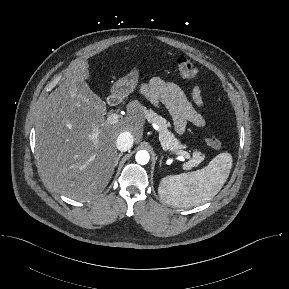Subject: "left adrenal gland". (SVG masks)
I'll return each mask as SVG.
<instances>
[{
	"label": "left adrenal gland",
	"mask_w": 289,
	"mask_h": 289,
	"mask_svg": "<svg viewBox=\"0 0 289 289\" xmlns=\"http://www.w3.org/2000/svg\"><path fill=\"white\" fill-rule=\"evenodd\" d=\"M163 158V157H162ZM162 160H160V166H161Z\"/></svg>",
	"instance_id": "obj_1"
}]
</instances>
